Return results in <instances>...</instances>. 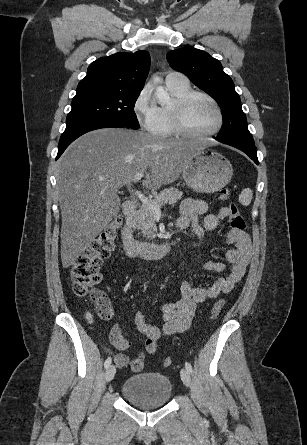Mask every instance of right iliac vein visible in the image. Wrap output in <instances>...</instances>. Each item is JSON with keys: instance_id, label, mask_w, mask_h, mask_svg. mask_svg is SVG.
Listing matches in <instances>:
<instances>
[{"instance_id": "1", "label": "right iliac vein", "mask_w": 307, "mask_h": 445, "mask_svg": "<svg viewBox=\"0 0 307 445\" xmlns=\"http://www.w3.org/2000/svg\"><path fill=\"white\" fill-rule=\"evenodd\" d=\"M115 373H116L115 366L114 365H110L107 368L106 373H105V380H106V382H110L114 378Z\"/></svg>"}]
</instances>
